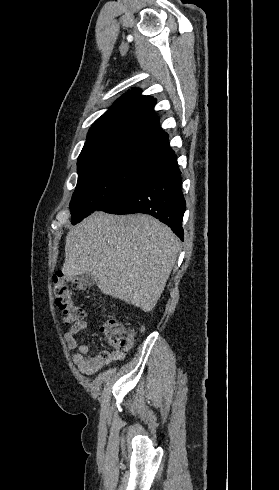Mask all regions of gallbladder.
I'll list each match as a JSON object with an SVG mask.
<instances>
[{
    "mask_svg": "<svg viewBox=\"0 0 279 490\" xmlns=\"http://www.w3.org/2000/svg\"><path fill=\"white\" fill-rule=\"evenodd\" d=\"M78 282H80L82 286H93V284H95V280L90 274H81L78 278Z\"/></svg>",
    "mask_w": 279,
    "mask_h": 490,
    "instance_id": "gallbladder-1",
    "label": "gallbladder"
}]
</instances>
